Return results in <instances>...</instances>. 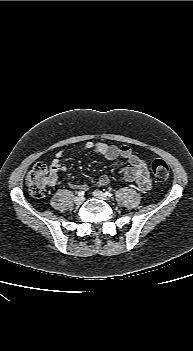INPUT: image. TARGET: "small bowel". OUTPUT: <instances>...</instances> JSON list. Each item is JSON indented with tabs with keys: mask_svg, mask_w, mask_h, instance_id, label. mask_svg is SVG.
Listing matches in <instances>:
<instances>
[{
	"mask_svg": "<svg viewBox=\"0 0 193 351\" xmlns=\"http://www.w3.org/2000/svg\"><path fill=\"white\" fill-rule=\"evenodd\" d=\"M84 148L90 150L95 154L103 157L108 161H114L122 158L127 161V165L121 169V173L126 182H134L141 190H149L152 186L146 163L138 156L134 155L131 148L123 145L116 146L107 144L101 141H88L85 143ZM68 155L65 150H60L55 153L50 164V184H60L59 173L65 172L67 167L62 163V159ZM110 179L107 175H102L97 180L98 186H107ZM74 189L87 190L84 184L70 183Z\"/></svg>",
	"mask_w": 193,
	"mask_h": 351,
	"instance_id": "obj_1",
	"label": "small bowel"
}]
</instances>
